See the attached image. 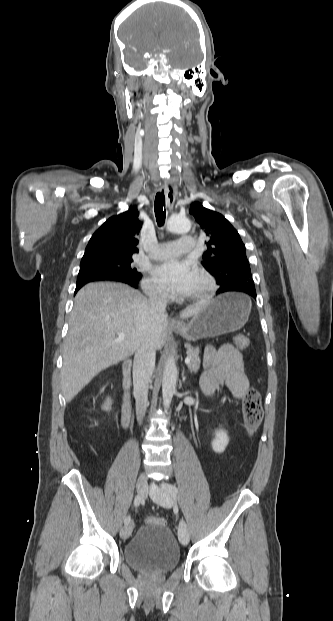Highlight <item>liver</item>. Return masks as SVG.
<instances>
[{"label":"liver","instance_id":"6515ba94","mask_svg":"<svg viewBox=\"0 0 333 621\" xmlns=\"http://www.w3.org/2000/svg\"><path fill=\"white\" fill-rule=\"evenodd\" d=\"M208 301L182 311L197 314ZM123 340H118L119 334ZM167 314L155 312L138 290L117 283H90L74 299L63 348L62 392L70 402L99 372L125 360L143 340L161 350L167 340Z\"/></svg>","mask_w":333,"mask_h":621}]
</instances>
